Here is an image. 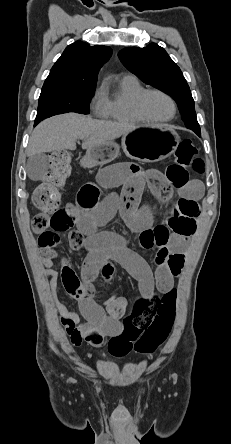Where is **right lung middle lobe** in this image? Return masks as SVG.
Here are the masks:
<instances>
[{
  "mask_svg": "<svg viewBox=\"0 0 231 444\" xmlns=\"http://www.w3.org/2000/svg\"><path fill=\"white\" fill-rule=\"evenodd\" d=\"M95 88L72 89V88H47L42 89L38 112L35 119L37 125L41 120L56 114L77 112L87 114L88 103L94 94Z\"/></svg>",
  "mask_w": 231,
  "mask_h": 444,
  "instance_id": "obj_1",
  "label": "right lung middle lobe"
}]
</instances>
